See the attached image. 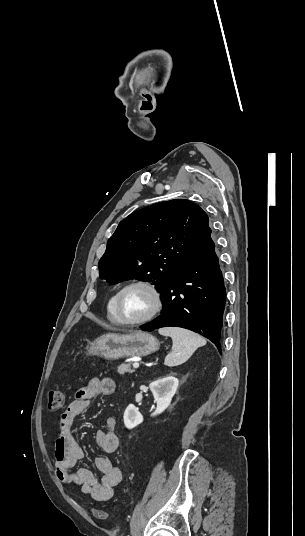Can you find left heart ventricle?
<instances>
[{
  "label": "left heart ventricle",
  "instance_id": "left-heart-ventricle-1",
  "mask_svg": "<svg viewBox=\"0 0 305 536\" xmlns=\"http://www.w3.org/2000/svg\"><path fill=\"white\" fill-rule=\"evenodd\" d=\"M153 307L151 293L142 286L128 288L121 300V315L124 320L136 321L145 317Z\"/></svg>",
  "mask_w": 305,
  "mask_h": 536
}]
</instances>
